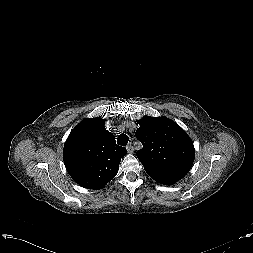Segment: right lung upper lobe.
<instances>
[{
  "label": "right lung upper lobe",
  "instance_id": "obj_1",
  "mask_svg": "<svg viewBox=\"0 0 253 253\" xmlns=\"http://www.w3.org/2000/svg\"><path fill=\"white\" fill-rule=\"evenodd\" d=\"M104 123L101 118L83 120L64 144L65 167L73 180L84 188L105 187L117 174L120 160L127 153L116 144Z\"/></svg>",
  "mask_w": 253,
  "mask_h": 253
}]
</instances>
